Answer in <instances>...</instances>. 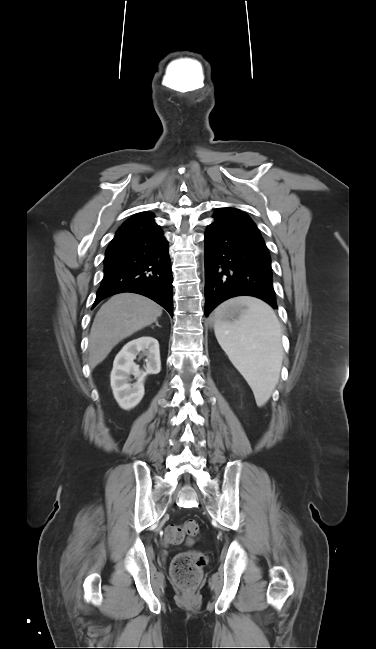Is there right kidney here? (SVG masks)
<instances>
[{
	"instance_id": "right-kidney-1",
	"label": "right kidney",
	"mask_w": 376,
	"mask_h": 649,
	"mask_svg": "<svg viewBox=\"0 0 376 649\" xmlns=\"http://www.w3.org/2000/svg\"><path fill=\"white\" fill-rule=\"evenodd\" d=\"M140 352L147 357L145 372L134 362ZM160 370L159 343L155 338L141 336L127 343L115 357L111 372V388L120 407L125 410L134 408L144 396L145 377L158 374ZM130 375L137 378L136 383H130Z\"/></svg>"
}]
</instances>
